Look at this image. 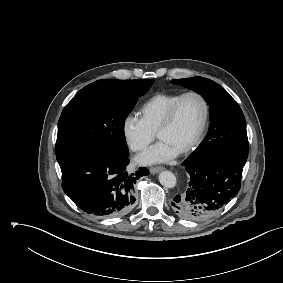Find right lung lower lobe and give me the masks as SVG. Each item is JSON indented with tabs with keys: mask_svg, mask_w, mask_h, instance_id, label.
I'll return each instance as SVG.
<instances>
[{
	"mask_svg": "<svg viewBox=\"0 0 283 283\" xmlns=\"http://www.w3.org/2000/svg\"><path fill=\"white\" fill-rule=\"evenodd\" d=\"M128 156L93 150L70 158L60 165L64 192L88 214L99 217L126 214L135 202L136 181L149 174L145 167L128 173Z\"/></svg>",
	"mask_w": 283,
	"mask_h": 283,
	"instance_id": "right-lung-lower-lobe-1",
	"label": "right lung lower lobe"
}]
</instances>
